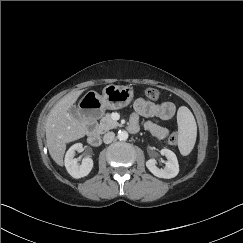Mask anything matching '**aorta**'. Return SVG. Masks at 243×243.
I'll use <instances>...</instances> for the list:
<instances>
[{"mask_svg": "<svg viewBox=\"0 0 243 243\" xmlns=\"http://www.w3.org/2000/svg\"><path fill=\"white\" fill-rule=\"evenodd\" d=\"M117 137L119 140L125 141L128 139V132L125 130H120L118 131Z\"/></svg>", "mask_w": 243, "mask_h": 243, "instance_id": "obj_1", "label": "aorta"}]
</instances>
